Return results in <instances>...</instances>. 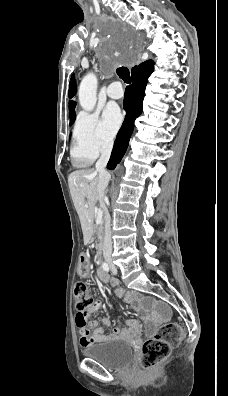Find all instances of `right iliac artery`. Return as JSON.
<instances>
[{
	"label": "right iliac artery",
	"instance_id": "obj_1",
	"mask_svg": "<svg viewBox=\"0 0 228 396\" xmlns=\"http://www.w3.org/2000/svg\"><path fill=\"white\" fill-rule=\"evenodd\" d=\"M102 268H103V270L106 271V272L109 271V266H108V264H107L106 262H104V263L102 264Z\"/></svg>",
	"mask_w": 228,
	"mask_h": 396
}]
</instances>
